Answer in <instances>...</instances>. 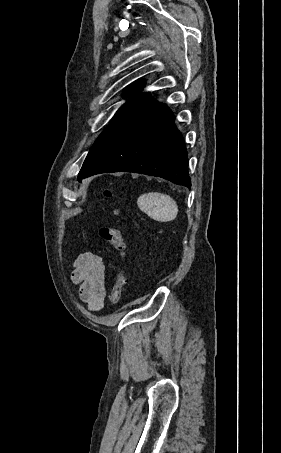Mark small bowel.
Here are the masks:
<instances>
[{"label":"small bowel","instance_id":"obj_1","mask_svg":"<svg viewBox=\"0 0 281 453\" xmlns=\"http://www.w3.org/2000/svg\"><path fill=\"white\" fill-rule=\"evenodd\" d=\"M105 264L101 256L82 253L74 262L71 280L79 286V296L87 309L99 312L106 298Z\"/></svg>","mask_w":281,"mask_h":453}]
</instances>
